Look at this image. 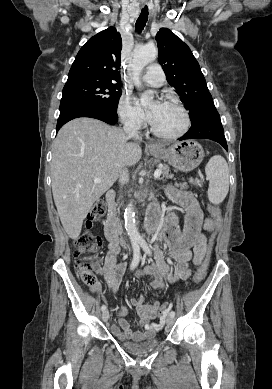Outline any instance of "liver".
Listing matches in <instances>:
<instances>
[{"mask_svg":"<svg viewBox=\"0 0 272 389\" xmlns=\"http://www.w3.org/2000/svg\"><path fill=\"white\" fill-rule=\"evenodd\" d=\"M129 139L122 129L92 118L74 119L58 132L51 161L52 193L71 239L79 237L92 205L112 187L123 167L141 159L140 141Z\"/></svg>","mask_w":272,"mask_h":389,"instance_id":"6515ba94","label":"liver"}]
</instances>
